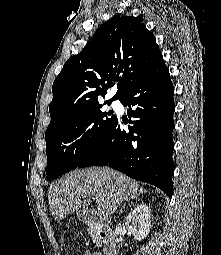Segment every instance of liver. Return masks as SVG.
Masks as SVG:
<instances>
[{"label": "liver", "mask_w": 221, "mask_h": 255, "mask_svg": "<svg viewBox=\"0 0 221 255\" xmlns=\"http://www.w3.org/2000/svg\"><path fill=\"white\" fill-rule=\"evenodd\" d=\"M142 189V188H140ZM139 184L128 176L109 167H91L74 170L63 176L48 190L52 215L62 220L75 210L90 204L88 196H94L103 204L106 214H114L118 206L138 194Z\"/></svg>", "instance_id": "liver-1"}]
</instances>
